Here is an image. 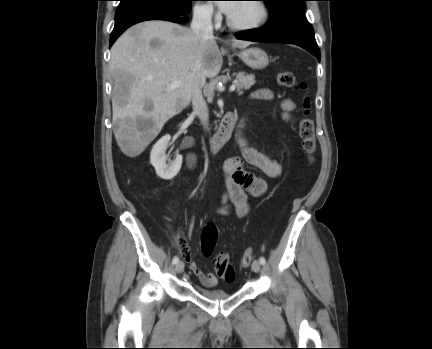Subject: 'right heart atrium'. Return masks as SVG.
Here are the masks:
<instances>
[{
  "label": "right heart atrium",
  "mask_w": 432,
  "mask_h": 349,
  "mask_svg": "<svg viewBox=\"0 0 432 349\" xmlns=\"http://www.w3.org/2000/svg\"><path fill=\"white\" fill-rule=\"evenodd\" d=\"M194 15L197 19L205 22H211L218 18L214 6L208 1L195 4Z\"/></svg>",
  "instance_id": "d8ad5b80"
}]
</instances>
